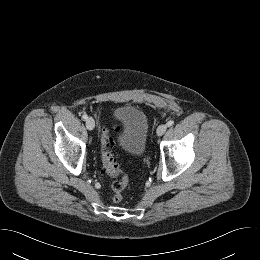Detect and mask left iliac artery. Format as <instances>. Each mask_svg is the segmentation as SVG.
Listing matches in <instances>:
<instances>
[{"mask_svg":"<svg viewBox=\"0 0 260 260\" xmlns=\"http://www.w3.org/2000/svg\"><path fill=\"white\" fill-rule=\"evenodd\" d=\"M173 124H174V121H172V120H170V121L167 122V126H168V127L172 126Z\"/></svg>","mask_w":260,"mask_h":260,"instance_id":"1","label":"left iliac artery"}]
</instances>
